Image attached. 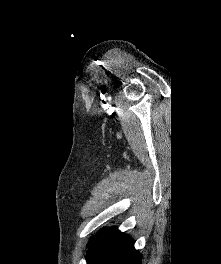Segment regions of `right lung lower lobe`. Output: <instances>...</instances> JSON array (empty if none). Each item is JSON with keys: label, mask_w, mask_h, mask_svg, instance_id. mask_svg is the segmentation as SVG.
I'll return each instance as SVG.
<instances>
[{"label": "right lung lower lobe", "mask_w": 221, "mask_h": 264, "mask_svg": "<svg viewBox=\"0 0 221 264\" xmlns=\"http://www.w3.org/2000/svg\"><path fill=\"white\" fill-rule=\"evenodd\" d=\"M87 264H141L133 240L117 229H106L93 238Z\"/></svg>", "instance_id": "1"}]
</instances>
